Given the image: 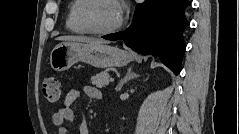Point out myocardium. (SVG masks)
<instances>
[{
    "label": "myocardium",
    "instance_id": "obj_1",
    "mask_svg": "<svg viewBox=\"0 0 239 134\" xmlns=\"http://www.w3.org/2000/svg\"><path fill=\"white\" fill-rule=\"evenodd\" d=\"M98 1H100V0H85V3L83 4L81 11H80V21H81L82 25L85 27V29L89 33H92L95 35H107V34L116 32L123 25L122 15L120 16L119 21L115 25H113L112 27H109L107 29L97 28L92 23L90 12H91L92 8L94 7V5L96 4V2H98ZM110 1H113V0H110ZM113 2L115 4H117L115 1H113Z\"/></svg>",
    "mask_w": 239,
    "mask_h": 134
}]
</instances>
